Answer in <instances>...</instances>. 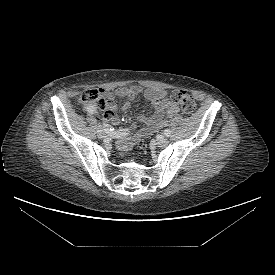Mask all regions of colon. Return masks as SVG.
I'll list each match as a JSON object with an SVG mask.
<instances>
[{"label":"colon","mask_w":275,"mask_h":275,"mask_svg":"<svg viewBox=\"0 0 275 275\" xmlns=\"http://www.w3.org/2000/svg\"><path fill=\"white\" fill-rule=\"evenodd\" d=\"M165 96L170 101L178 104L186 114H191L195 110V100L192 95L185 90L176 89L172 91H166ZM79 100L84 105H92L99 109H103L106 106V100L104 96L97 89H87L83 91L79 97Z\"/></svg>","instance_id":"1"}]
</instances>
